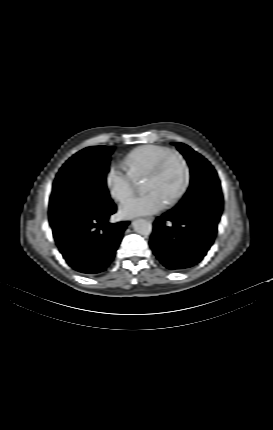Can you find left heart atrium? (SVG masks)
I'll return each instance as SVG.
<instances>
[{"instance_id":"obj_1","label":"left heart atrium","mask_w":273,"mask_h":430,"mask_svg":"<svg viewBox=\"0 0 273 430\" xmlns=\"http://www.w3.org/2000/svg\"><path fill=\"white\" fill-rule=\"evenodd\" d=\"M166 203L167 201L157 191H150L127 200L120 208V215L130 218L155 214L164 209Z\"/></svg>"}]
</instances>
